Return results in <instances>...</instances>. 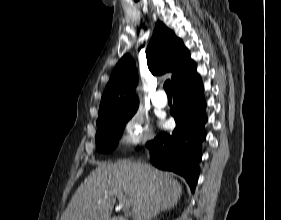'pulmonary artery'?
<instances>
[{"mask_svg":"<svg viewBox=\"0 0 281 220\" xmlns=\"http://www.w3.org/2000/svg\"><path fill=\"white\" fill-rule=\"evenodd\" d=\"M152 102L158 108L165 107L167 105V97L165 92L162 89H158L152 97Z\"/></svg>","mask_w":281,"mask_h":220,"instance_id":"pulmonary-artery-1","label":"pulmonary artery"}]
</instances>
